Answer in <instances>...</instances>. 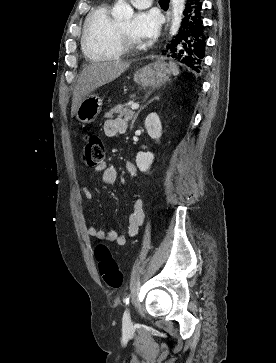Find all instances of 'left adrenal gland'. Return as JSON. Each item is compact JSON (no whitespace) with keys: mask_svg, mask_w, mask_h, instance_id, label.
<instances>
[{"mask_svg":"<svg viewBox=\"0 0 276 363\" xmlns=\"http://www.w3.org/2000/svg\"><path fill=\"white\" fill-rule=\"evenodd\" d=\"M155 99H159V96H156L154 99H151L150 101H148V103L146 104V105H144V107H142L137 113H136V115L134 116V119H133V121H132V124H131V128H133V125H134V122H135V120L137 119V117H138V115H139V113L147 106V105H149L152 101H154Z\"/></svg>","mask_w":276,"mask_h":363,"instance_id":"left-adrenal-gland-1","label":"left adrenal gland"}]
</instances>
